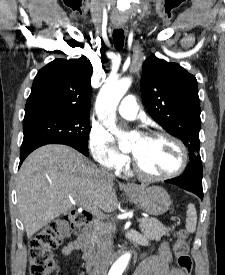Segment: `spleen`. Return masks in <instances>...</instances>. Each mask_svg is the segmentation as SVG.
<instances>
[{
	"mask_svg": "<svg viewBox=\"0 0 225 275\" xmlns=\"http://www.w3.org/2000/svg\"><path fill=\"white\" fill-rule=\"evenodd\" d=\"M197 224V212L194 204H188L187 218H186V229L190 233H194Z\"/></svg>",
	"mask_w": 225,
	"mask_h": 275,
	"instance_id": "spleen-1",
	"label": "spleen"
}]
</instances>
